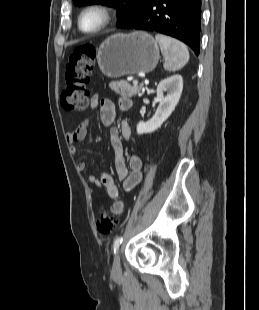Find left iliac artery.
Listing matches in <instances>:
<instances>
[{"label": "left iliac artery", "mask_w": 259, "mask_h": 310, "mask_svg": "<svg viewBox=\"0 0 259 310\" xmlns=\"http://www.w3.org/2000/svg\"><path fill=\"white\" fill-rule=\"evenodd\" d=\"M123 241V238L122 237H118L115 239L114 241V245H113V250H114V253H116L117 249L119 248L120 244L122 243Z\"/></svg>", "instance_id": "44dca946"}]
</instances>
